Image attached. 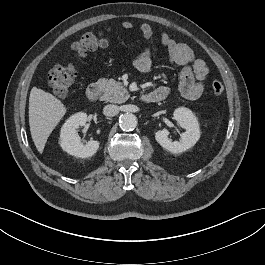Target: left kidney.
I'll list each match as a JSON object with an SVG mask.
<instances>
[{"instance_id":"1","label":"left kidney","mask_w":265,"mask_h":265,"mask_svg":"<svg viewBox=\"0 0 265 265\" xmlns=\"http://www.w3.org/2000/svg\"><path fill=\"white\" fill-rule=\"evenodd\" d=\"M173 116L178 124L186 130L182 133L180 141H171L168 138L169 131L167 129L157 131L155 139L164 149L172 153H180L196 144L200 138V128L196 116L188 108H177Z\"/></svg>"}]
</instances>
